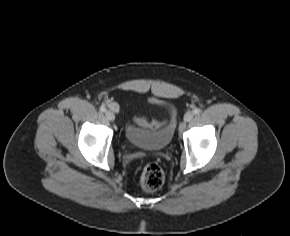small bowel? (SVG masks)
<instances>
[{"instance_id": "obj_1", "label": "small bowel", "mask_w": 290, "mask_h": 236, "mask_svg": "<svg viewBox=\"0 0 290 236\" xmlns=\"http://www.w3.org/2000/svg\"><path fill=\"white\" fill-rule=\"evenodd\" d=\"M109 107H111L113 110H117V106L115 104H110Z\"/></svg>"}]
</instances>
